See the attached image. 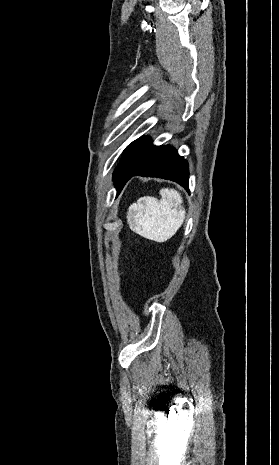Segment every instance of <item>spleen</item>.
<instances>
[{"mask_svg":"<svg viewBox=\"0 0 279 465\" xmlns=\"http://www.w3.org/2000/svg\"><path fill=\"white\" fill-rule=\"evenodd\" d=\"M160 195L159 201L143 197L133 203L127 212V221L130 229L144 238L165 242L182 226L186 211L178 191L164 188Z\"/></svg>","mask_w":279,"mask_h":465,"instance_id":"1","label":"spleen"}]
</instances>
